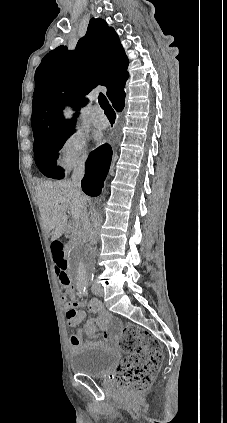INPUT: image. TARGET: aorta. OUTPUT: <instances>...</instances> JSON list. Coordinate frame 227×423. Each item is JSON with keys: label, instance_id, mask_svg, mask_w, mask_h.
Listing matches in <instances>:
<instances>
[{"label": "aorta", "instance_id": "1", "mask_svg": "<svg viewBox=\"0 0 227 423\" xmlns=\"http://www.w3.org/2000/svg\"><path fill=\"white\" fill-rule=\"evenodd\" d=\"M67 118L72 116L69 108L64 110ZM95 270V254L87 244L74 247L68 257V275L77 286H86Z\"/></svg>", "mask_w": 227, "mask_h": 423}]
</instances>
